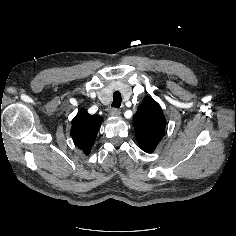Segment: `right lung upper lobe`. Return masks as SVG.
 <instances>
[{
	"mask_svg": "<svg viewBox=\"0 0 236 236\" xmlns=\"http://www.w3.org/2000/svg\"><path fill=\"white\" fill-rule=\"evenodd\" d=\"M102 118L80 110L72 120L71 135L75 144L85 154H89L100 128Z\"/></svg>",
	"mask_w": 236,
	"mask_h": 236,
	"instance_id": "obj_1",
	"label": "right lung upper lobe"
}]
</instances>
